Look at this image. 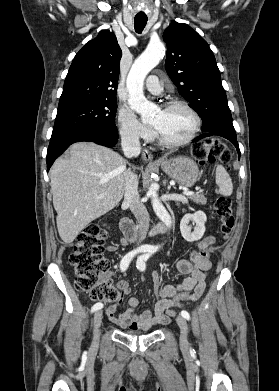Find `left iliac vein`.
I'll return each instance as SVG.
<instances>
[{
    "label": "left iliac vein",
    "instance_id": "obj_1",
    "mask_svg": "<svg viewBox=\"0 0 279 391\" xmlns=\"http://www.w3.org/2000/svg\"><path fill=\"white\" fill-rule=\"evenodd\" d=\"M177 324L180 328V346L183 349L188 348V324L184 317L177 316L176 318Z\"/></svg>",
    "mask_w": 279,
    "mask_h": 391
}]
</instances>
